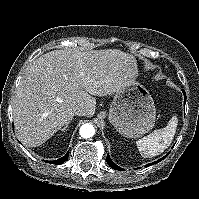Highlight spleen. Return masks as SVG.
I'll list each match as a JSON object with an SVG mask.
<instances>
[{"instance_id": "1", "label": "spleen", "mask_w": 199, "mask_h": 199, "mask_svg": "<svg viewBox=\"0 0 199 199\" xmlns=\"http://www.w3.org/2000/svg\"><path fill=\"white\" fill-rule=\"evenodd\" d=\"M178 125L177 116H173L166 127L154 130L150 135L136 142L142 157H154L164 152L171 144Z\"/></svg>"}]
</instances>
